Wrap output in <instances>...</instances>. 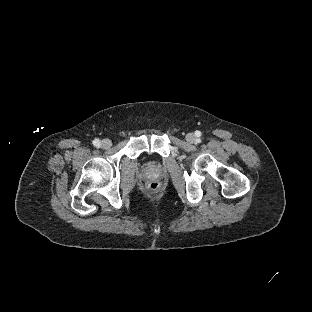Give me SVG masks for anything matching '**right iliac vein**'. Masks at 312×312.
Returning a JSON list of instances; mask_svg holds the SVG:
<instances>
[{
	"mask_svg": "<svg viewBox=\"0 0 312 312\" xmlns=\"http://www.w3.org/2000/svg\"><path fill=\"white\" fill-rule=\"evenodd\" d=\"M112 145L111 141L109 139H104L101 141V147L103 149H107V148H110Z\"/></svg>",
	"mask_w": 312,
	"mask_h": 312,
	"instance_id": "63e3f726",
	"label": "right iliac vein"
}]
</instances>
